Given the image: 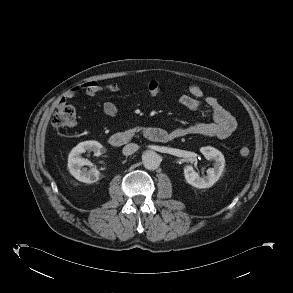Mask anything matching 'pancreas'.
<instances>
[{
	"label": "pancreas",
	"instance_id": "cf45deb5",
	"mask_svg": "<svg viewBox=\"0 0 293 293\" xmlns=\"http://www.w3.org/2000/svg\"><path fill=\"white\" fill-rule=\"evenodd\" d=\"M141 129H142L141 127H135V128L128 130V132L134 133V132L140 131Z\"/></svg>",
	"mask_w": 293,
	"mask_h": 293
}]
</instances>
